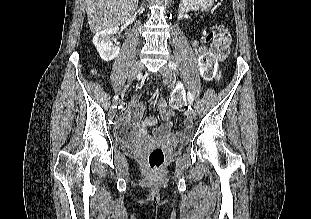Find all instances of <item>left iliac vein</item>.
I'll list each match as a JSON object with an SVG mask.
<instances>
[{
	"label": "left iliac vein",
	"mask_w": 311,
	"mask_h": 219,
	"mask_svg": "<svg viewBox=\"0 0 311 219\" xmlns=\"http://www.w3.org/2000/svg\"><path fill=\"white\" fill-rule=\"evenodd\" d=\"M160 74L168 81L170 82L171 79H172V72H171V69L169 66L167 65H163L160 70H159ZM190 113L191 115L194 117L196 112H195V109L194 107H190Z\"/></svg>",
	"instance_id": "4c4485c4"
}]
</instances>
